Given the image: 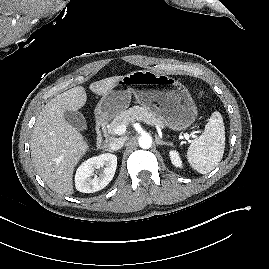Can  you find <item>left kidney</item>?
I'll use <instances>...</instances> for the list:
<instances>
[{"label":"left kidney","mask_w":269,"mask_h":269,"mask_svg":"<svg viewBox=\"0 0 269 269\" xmlns=\"http://www.w3.org/2000/svg\"><path fill=\"white\" fill-rule=\"evenodd\" d=\"M170 155V159L172 161V164L176 167H182V161L180 159V156L178 154V152L172 150L169 152Z\"/></svg>","instance_id":"obj_1"}]
</instances>
